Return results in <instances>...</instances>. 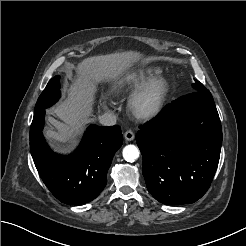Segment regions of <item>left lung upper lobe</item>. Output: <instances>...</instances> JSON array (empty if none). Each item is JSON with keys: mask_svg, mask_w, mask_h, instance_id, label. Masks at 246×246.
<instances>
[{"mask_svg": "<svg viewBox=\"0 0 246 246\" xmlns=\"http://www.w3.org/2000/svg\"><path fill=\"white\" fill-rule=\"evenodd\" d=\"M194 80H195V83L192 84L194 91L206 90L205 86L201 82H199L196 79H194Z\"/></svg>", "mask_w": 246, "mask_h": 246, "instance_id": "obj_1", "label": "left lung upper lobe"}]
</instances>
